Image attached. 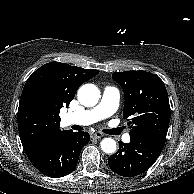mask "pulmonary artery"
<instances>
[{
  "mask_svg": "<svg viewBox=\"0 0 194 194\" xmlns=\"http://www.w3.org/2000/svg\"><path fill=\"white\" fill-rule=\"evenodd\" d=\"M119 91L115 87H106L103 91L101 101L91 109L83 110L78 113H67L64 117L68 125H90L104 118L111 116L118 108ZM123 141L128 143L130 135L125 134Z\"/></svg>",
  "mask_w": 194,
  "mask_h": 194,
  "instance_id": "e3ab8cb5",
  "label": "pulmonary artery"
}]
</instances>
